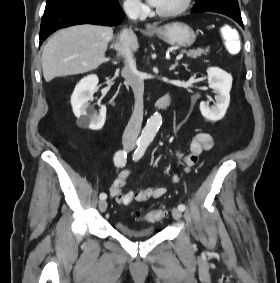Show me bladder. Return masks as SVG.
Masks as SVG:
<instances>
[{
    "label": "bladder",
    "instance_id": "bladder-1",
    "mask_svg": "<svg viewBox=\"0 0 280 283\" xmlns=\"http://www.w3.org/2000/svg\"><path fill=\"white\" fill-rule=\"evenodd\" d=\"M115 228L121 235L130 239H143L152 237L155 234V227L153 225H145L139 228H133L127 223L118 221L115 223Z\"/></svg>",
    "mask_w": 280,
    "mask_h": 283
}]
</instances>
